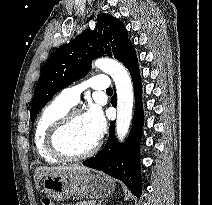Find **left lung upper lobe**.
<instances>
[{
    "label": "left lung upper lobe",
    "mask_w": 212,
    "mask_h": 205,
    "mask_svg": "<svg viewBox=\"0 0 212 205\" xmlns=\"http://www.w3.org/2000/svg\"><path fill=\"white\" fill-rule=\"evenodd\" d=\"M133 50L123 23L109 14H99L93 31L84 30L45 62L31 104V121L59 90L87 74L93 59L114 56L124 64Z\"/></svg>",
    "instance_id": "1"
}]
</instances>
